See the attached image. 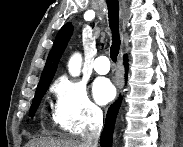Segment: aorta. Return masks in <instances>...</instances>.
Segmentation results:
<instances>
[{
  "label": "aorta",
  "instance_id": "aorta-1",
  "mask_svg": "<svg viewBox=\"0 0 183 147\" xmlns=\"http://www.w3.org/2000/svg\"><path fill=\"white\" fill-rule=\"evenodd\" d=\"M82 57L80 54H74L68 63V69L72 76L76 77L80 74Z\"/></svg>",
  "mask_w": 183,
  "mask_h": 147
}]
</instances>
